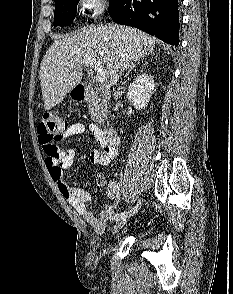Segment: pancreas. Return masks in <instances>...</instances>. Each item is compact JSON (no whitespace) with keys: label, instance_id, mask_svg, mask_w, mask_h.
<instances>
[{"label":"pancreas","instance_id":"obj_1","mask_svg":"<svg viewBox=\"0 0 233 294\" xmlns=\"http://www.w3.org/2000/svg\"><path fill=\"white\" fill-rule=\"evenodd\" d=\"M88 108L92 119L101 124L107 115V103L102 101L96 92H91V97L88 100Z\"/></svg>","mask_w":233,"mask_h":294}]
</instances>
